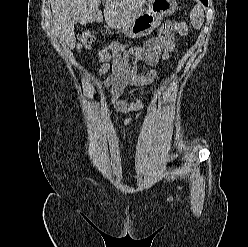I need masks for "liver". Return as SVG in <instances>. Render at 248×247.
Returning <instances> with one entry per match:
<instances>
[{"label":"liver","instance_id":"1","mask_svg":"<svg viewBox=\"0 0 248 247\" xmlns=\"http://www.w3.org/2000/svg\"><path fill=\"white\" fill-rule=\"evenodd\" d=\"M147 0H106L104 18L109 27L118 29L136 17ZM53 25L60 40L75 47L74 25L101 22L102 0H50Z\"/></svg>","mask_w":248,"mask_h":247}]
</instances>
